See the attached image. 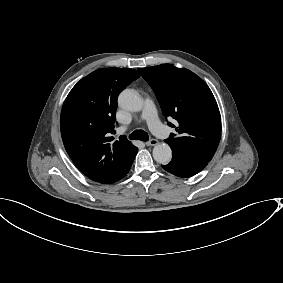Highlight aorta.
Here are the masks:
<instances>
[{
    "mask_svg": "<svg viewBox=\"0 0 283 283\" xmlns=\"http://www.w3.org/2000/svg\"><path fill=\"white\" fill-rule=\"evenodd\" d=\"M118 104L122 109L131 112H138L142 109L143 101L133 91L125 90L118 97ZM154 160L160 164H168L172 158V150L166 143H160L153 148Z\"/></svg>",
    "mask_w": 283,
    "mask_h": 283,
    "instance_id": "obj_1",
    "label": "aorta"
}]
</instances>
